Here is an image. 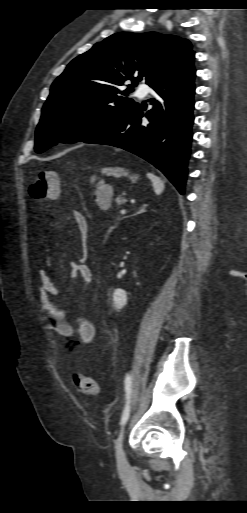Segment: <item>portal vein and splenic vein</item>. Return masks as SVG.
Returning <instances> with one entry per match:
<instances>
[{
	"label": "portal vein and splenic vein",
	"instance_id": "portal-vein-and-splenic-vein-1",
	"mask_svg": "<svg viewBox=\"0 0 247 513\" xmlns=\"http://www.w3.org/2000/svg\"><path fill=\"white\" fill-rule=\"evenodd\" d=\"M120 214H121V215L126 214V210H125V209L121 210V211H120Z\"/></svg>",
	"mask_w": 247,
	"mask_h": 513
}]
</instances>
